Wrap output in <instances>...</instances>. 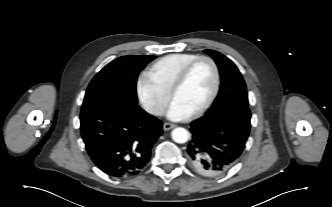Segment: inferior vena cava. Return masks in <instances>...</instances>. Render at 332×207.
<instances>
[{
	"label": "inferior vena cava",
	"mask_w": 332,
	"mask_h": 207,
	"mask_svg": "<svg viewBox=\"0 0 332 207\" xmlns=\"http://www.w3.org/2000/svg\"><path fill=\"white\" fill-rule=\"evenodd\" d=\"M145 110L153 115H163L165 113V109L161 106H146Z\"/></svg>",
	"instance_id": "602c4592"
}]
</instances>
